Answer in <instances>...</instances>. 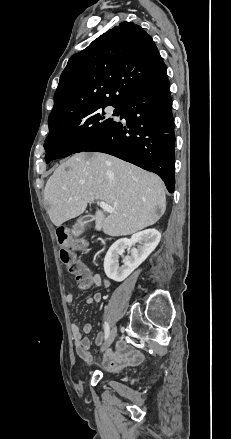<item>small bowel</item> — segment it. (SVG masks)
Here are the masks:
<instances>
[{"mask_svg":"<svg viewBox=\"0 0 231 439\" xmlns=\"http://www.w3.org/2000/svg\"><path fill=\"white\" fill-rule=\"evenodd\" d=\"M91 285L101 287L104 290H107L110 287V281L103 278L99 273L91 274ZM102 299V294L99 292L94 293L92 296L86 299L87 304H93L100 302ZM66 303L68 306H71L74 301V294L70 292L66 295ZM91 324L86 323L83 327V333L85 335L91 332ZM70 330L72 334V338L74 341V346L77 355L80 359L86 363L92 360V355L90 353V341L87 336H85L78 325L76 320L70 321ZM103 341V334L101 332L97 333L95 342L97 345H101ZM143 360V354L127 345L125 342H120L117 345L115 351L108 350L103 357V365L109 370H118L126 366L137 365L141 363Z\"/></svg>","mask_w":231,"mask_h":439,"instance_id":"c3829d8e","label":"small bowel"}]
</instances>
